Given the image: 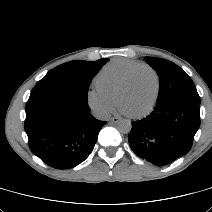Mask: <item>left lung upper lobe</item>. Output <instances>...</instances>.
<instances>
[{
	"label": "left lung upper lobe",
	"instance_id": "left-lung-upper-lobe-1",
	"mask_svg": "<svg viewBox=\"0 0 212 212\" xmlns=\"http://www.w3.org/2000/svg\"><path fill=\"white\" fill-rule=\"evenodd\" d=\"M145 61L160 77L157 104L183 99L200 104L199 95L191 78L176 64L166 59L145 57Z\"/></svg>",
	"mask_w": 212,
	"mask_h": 212
}]
</instances>
